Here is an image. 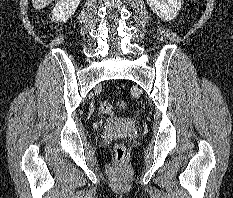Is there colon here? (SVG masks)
Here are the masks:
<instances>
[{
	"mask_svg": "<svg viewBox=\"0 0 233 198\" xmlns=\"http://www.w3.org/2000/svg\"><path fill=\"white\" fill-rule=\"evenodd\" d=\"M100 110L107 114L110 115L113 113V106L109 102H101L100 103ZM114 154L115 158L118 162H123L126 156V147L123 143H117L114 147Z\"/></svg>",
	"mask_w": 233,
	"mask_h": 198,
	"instance_id": "5ec220e1",
	"label": "colon"
}]
</instances>
